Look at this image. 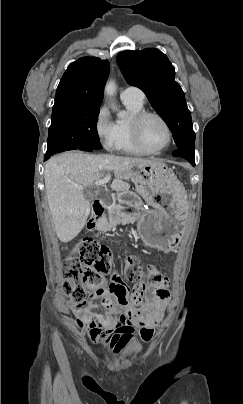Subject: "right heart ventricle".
<instances>
[{
  "mask_svg": "<svg viewBox=\"0 0 243 404\" xmlns=\"http://www.w3.org/2000/svg\"><path fill=\"white\" fill-rule=\"evenodd\" d=\"M138 95H140V92L136 91L132 95L121 97V101L126 108L129 117L124 121L118 120L115 124L118 135V152L123 155L141 157L149 155V153L135 144L129 130L131 118L144 110V100L137 98L136 96Z\"/></svg>",
  "mask_w": 243,
  "mask_h": 404,
  "instance_id": "obj_1",
  "label": "right heart ventricle"
}]
</instances>
